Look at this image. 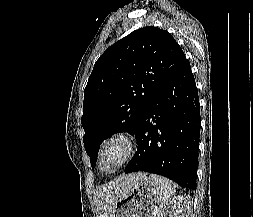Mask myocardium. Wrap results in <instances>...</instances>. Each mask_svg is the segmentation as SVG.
Segmentation results:
<instances>
[{
	"mask_svg": "<svg viewBox=\"0 0 253 217\" xmlns=\"http://www.w3.org/2000/svg\"><path fill=\"white\" fill-rule=\"evenodd\" d=\"M114 145H119L121 147L122 153L119 161L109 171H105L102 168V160L105 153ZM137 149V144L135 137L128 131H116L109 135L101 144L96 160V167L99 172L105 175H111L119 171L126 163H128L132 157L135 155Z\"/></svg>",
	"mask_w": 253,
	"mask_h": 217,
	"instance_id": "1",
	"label": "myocardium"
}]
</instances>
